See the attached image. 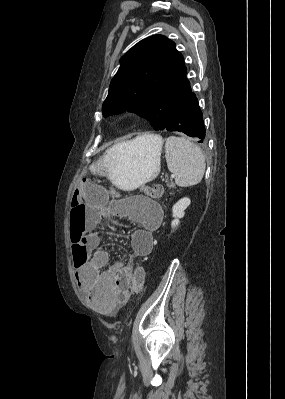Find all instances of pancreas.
<instances>
[{"label":"pancreas","instance_id":"cf45deb5","mask_svg":"<svg viewBox=\"0 0 285 399\" xmlns=\"http://www.w3.org/2000/svg\"><path fill=\"white\" fill-rule=\"evenodd\" d=\"M166 183H167V185L170 187V188H174L175 187V185H174V183L172 182V181H166Z\"/></svg>","mask_w":285,"mask_h":399}]
</instances>
